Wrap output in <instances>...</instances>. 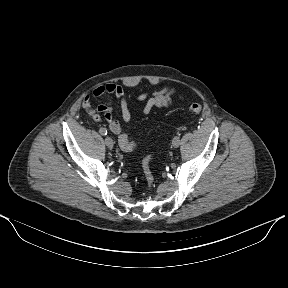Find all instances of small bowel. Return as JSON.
Wrapping results in <instances>:
<instances>
[{
    "instance_id": "small-bowel-1",
    "label": "small bowel",
    "mask_w": 288,
    "mask_h": 288,
    "mask_svg": "<svg viewBox=\"0 0 288 288\" xmlns=\"http://www.w3.org/2000/svg\"><path fill=\"white\" fill-rule=\"evenodd\" d=\"M105 94L113 95L116 98L123 121L126 123L130 122L132 120V114L128 103L130 96L125 92L124 87L120 84L107 83L96 87L91 94L84 97L82 106L89 115L94 113V119H98L100 113L103 114L109 124L111 132L120 138L122 135H125V133L119 121L113 115L114 109L107 105H99L96 109L91 108V97L100 98ZM176 95V90L173 87L168 86L155 91L152 94L147 92L137 94L135 99L137 101L145 102L142 114L147 116L154 108L163 109L170 107Z\"/></svg>"
}]
</instances>
